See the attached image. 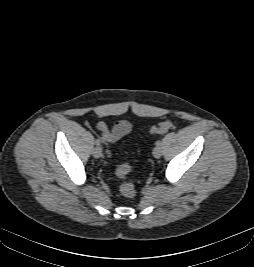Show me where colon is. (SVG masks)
<instances>
[{"label": "colon", "instance_id": "1", "mask_svg": "<svg viewBox=\"0 0 254 267\" xmlns=\"http://www.w3.org/2000/svg\"><path fill=\"white\" fill-rule=\"evenodd\" d=\"M172 126L170 121H163L154 125L150 128L151 134H163L167 132ZM131 170L129 163H123L119 165L116 169L117 176L122 180L120 184V192L125 197H133L136 194V189L131 182L126 181V177Z\"/></svg>", "mask_w": 254, "mask_h": 267}]
</instances>
